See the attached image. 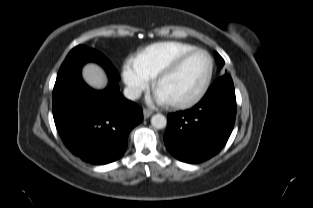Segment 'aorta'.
Returning a JSON list of instances; mask_svg holds the SVG:
<instances>
[{
  "label": "aorta",
  "mask_w": 313,
  "mask_h": 208,
  "mask_svg": "<svg viewBox=\"0 0 313 208\" xmlns=\"http://www.w3.org/2000/svg\"><path fill=\"white\" fill-rule=\"evenodd\" d=\"M151 124L156 129H163L167 125V119L162 114H155L151 118Z\"/></svg>",
  "instance_id": "aorta-1"
}]
</instances>
